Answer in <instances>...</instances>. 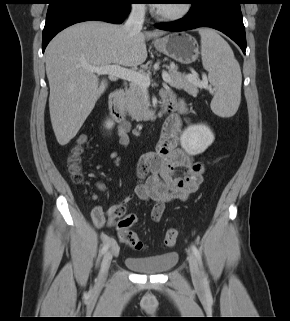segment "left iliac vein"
Instances as JSON below:
<instances>
[{
	"label": "left iliac vein",
	"instance_id": "4c4485c4",
	"mask_svg": "<svg viewBox=\"0 0 290 321\" xmlns=\"http://www.w3.org/2000/svg\"><path fill=\"white\" fill-rule=\"evenodd\" d=\"M188 262H189L191 277H192L194 284H196L197 286H201L202 285V276H201V273L199 270L197 260L191 252L188 253Z\"/></svg>",
	"mask_w": 290,
	"mask_h": 321
}]
</instances>
